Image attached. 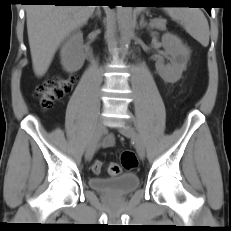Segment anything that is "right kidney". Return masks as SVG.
Wrapping results in <instances>:
<instances>
[{
    "label": "right kidney",
    "mask_w": 231,
    "mask_h": 231,
    "mask_svg": "<svg viewBox=\"0 0 231 231\" xmlns=\"http://www.w3.org/2000/svg\"><path fill=\"white\" fill-rule=\"evenodd\" d=\"M61 64L67 72H76L84 64L83 34L80 31L73 33L61 49Z\"/></svg>",
    "instance_id": "1"
}]
</instances>
